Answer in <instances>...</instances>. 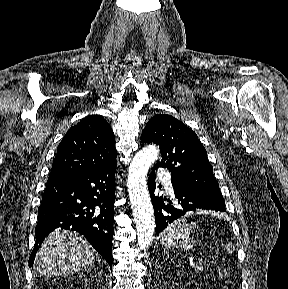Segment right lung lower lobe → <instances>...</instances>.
Returning <instances> with one entry per match:
<instances>
[{
	"mask_svg": "<svg viewBox=\"0 0 288 289\" xmlns=\"http://www.w3.org/2000/svg\"><path fill=\"white\" fill-rule=\"evenodd\" d=\"M116 160L96 170L47 181L35 228V255L45 236L56 228L83 234L112 266Z\"/></svg>",
	"mask_w": 288,
	"mask_h": 289,
	"instance_id": "98d812e1",
	"label": "right lung lower lobe"
}]
</instances>
